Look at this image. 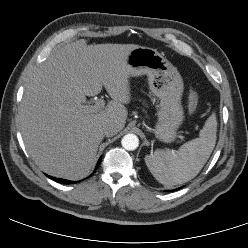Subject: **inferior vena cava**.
Listing matches in <instances>:
<instances>
[{
	"instance_id": "602c4592",
	"label": "inferior vena cava",
	"mask_w": 248,
	"mask_h": 248,
	"mask_svg": "<svg viewBox=\"0 0 248 248\" xmlns=\"http://www.w3.org/2000/svg\"><path fill=\"white\" fill-rule=\"evenodd\" d=\"M103 132L107 137H112L119 132V127L114 123H106L103 125Z\"/></svg>"
}]
</instances>
